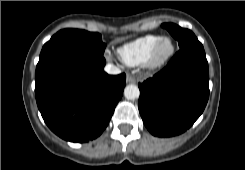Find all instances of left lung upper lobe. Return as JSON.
Masks as SVG:
<instances>
[{
    "mask_svg": "<svg viewBox=\"0 0 245 170\" xmlns=\"http://www.w3.org/2000/svg\"><path fill=\"white\" fill-rule=\"evenodd\" d=\"M163 28H166L169 33L178 40L179 47L181 49H191L199 52H204L202 44L198 41L194 33L188 29L179 27L173 23L162 24Z\"/></svg>",
    "mask_w": 245,
    "mask_h": 170,
    "instance_id": "1",
    "label": "left lung upper lobe"
}]
</instances>
